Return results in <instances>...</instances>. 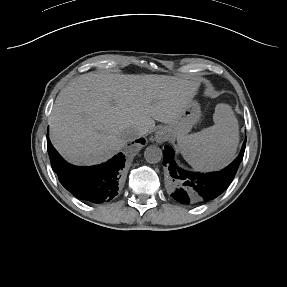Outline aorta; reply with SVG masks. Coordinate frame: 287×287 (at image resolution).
<instances>
[{"instance_id":"obj_1","label":"aorta","mask_w":287,"mask_h":287,"mask_svg":"<svg viewBox=\"0 0 287 287\" xmlns=\"http://www.w3.org/2000/svg\"><path fill=\"white\" fill-rule=\"evenodd\" d=\"M162 157L163 152L157 145H150L144 151V158L150 164L160 162Z\"/></svg>"}]
</instances>
